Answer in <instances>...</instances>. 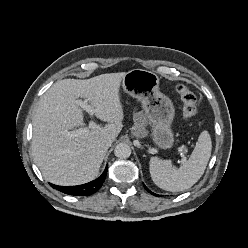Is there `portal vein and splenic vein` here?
<instances>
[{"label": "portal vein and splenic vein", "instance_id": "18ae733b", "mask_svg": "<svg viewBox=\"0 0 248 248\" xmlns=\"http://www.w3.org/2000/svg\"><path fill=\"white\" fill-rule=\"evenodd\" d=\"M77 104H78L81 108H83L84 110H86L91 116L94 115L95 109H93L90 105H88L87 101L78 100V101H77ZM95 127H96L95 122L90 121V122H89V127H88V129H93V128H95ZM85 132H87V128H79V129H77V130L67 132V133H66V136H68V137H77V136H79V135H81V134H84ZM178 151H179V152H182L183 149H182V148H179Z\"/></svg>", "mask_w": 248, "mask_h": 248}]
</instances>
